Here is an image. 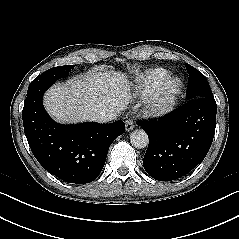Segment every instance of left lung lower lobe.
Returning a JSON list of instances; mask_svg holds the SVG:
<instances>
[{
	"label": "left lung lower lobe",
	"mask_w": 239,
	"mask_h": 239,
	"mask_svg": "<svg viewBox=\"0 0 239 239\" xmlns=\"http://www.w3.org/2000/svg\"><path fill=\"white\" fill-rule=\"evenodd\" d=\"M213 98H196L169 116L137 122L149 137L143 159L146 172L159 181L178 179L194 169L207 155L216 127Z\"/></svg>",
	"instance_id": "0a47b994"
}]
</instances>
